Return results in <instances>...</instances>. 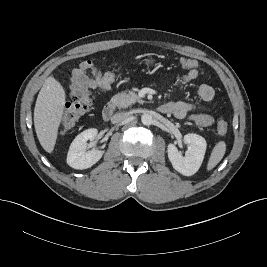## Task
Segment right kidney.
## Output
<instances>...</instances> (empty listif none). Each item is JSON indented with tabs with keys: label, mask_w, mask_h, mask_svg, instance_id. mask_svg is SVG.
I'll use <instances>...</instances> for the list:
<instances>
[{
	"label": "right kidney",
	"mask_w": 267,
	"mask_h": 267,
	"mask_svg": "<svg viewBox=\"0 0 267 267\" xmlns=\"http://www.w3.org/2000/svg\"><path fill=\"white\" fill-rule=\"evenodd\" d=\"M98 134L95 128L87 129L76 136L67 154V164L74 169H87L97 163L103 152L100 150L87 151V141L94 140Z\"/></svg>",
	"instance_id": "1"
}]
</instances>
